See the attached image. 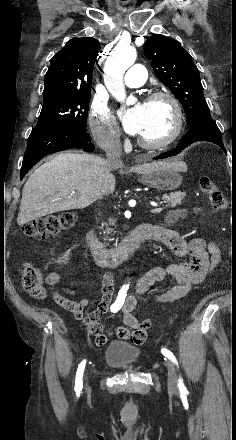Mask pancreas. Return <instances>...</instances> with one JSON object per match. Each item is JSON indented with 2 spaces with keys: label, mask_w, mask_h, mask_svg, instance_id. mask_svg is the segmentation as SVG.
Segmentation results:
<instances>
[{
  "label": "pancreas",
  "mask_w": 236,
  "mask_h": 440,
  "mask_svg": "<svg viewBox=\"0 0 236 440\" xmlns=\"http://www.w3.org/2000/svg\"><path fill=\"white\" fill-rule=\"evenodd\" d=\"M186 196L185 192H175L170 193L169 195L165 194L162 197V200L164 203H166V207H175L176 205H180L182 203V200ZM106 226V233L110 234L113 232L111 228H108V224H104ZM104 225L102 227H104ZM109 225H115V220L109 219Z\"/></svg>",
  "instance_id": "obj_1"
}]
</instances>
